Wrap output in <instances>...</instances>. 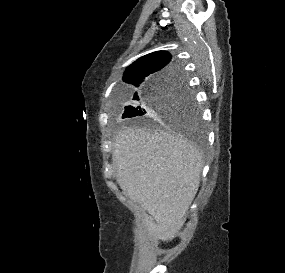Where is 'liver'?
<instances>
[{
	"instance_id": "1",
	"label": "liver",
	"mask_w": 285,
	"mask_h": 273,
	"mask_svg": "<svg viewBox=\"0 0 285 273\" xmlns=\"http://www.w3.org/2000/svg\"><path fill=\"white\" fill-rule=\"evenodd\" d=\"M113 148L120 188L154 218L151 233L171 241L198 191L202 154L182 137L138 127L121 129Z\"/></svg>"
}]
</instances>
